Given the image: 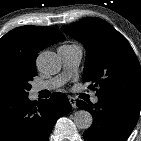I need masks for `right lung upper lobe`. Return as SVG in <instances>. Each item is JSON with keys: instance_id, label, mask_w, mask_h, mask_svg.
Instances as JSON below:
<instances>
[{"instance_id": "obj_1", "label": "right lung upper lobe", "mask_w": 141, "mask_h": 141, "mask_svg": "<svg viewBox=\"0 0 141 141\" xmlns=\"http://www.w3.org/2000/svg\"><path fill=\"white\" fill-rule=\"evenodd\" d=\"M65 39L51 27L22 26L0 39V64L22 63L35 67L38 52Z\"/></svg>"}]
</instances>
